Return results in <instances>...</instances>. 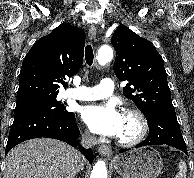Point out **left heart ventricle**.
<instances>
[{"instance_id": "left-heart-ventricle-1", "label": "left heart ventricle", "mask_w": 194, "mask_h": 178, "mask_svg": "<svg viewBox=\"0 0 194 178\" xmlns=\"http://www.w3.org/2000/svg\"><path fill=\"white\" fill-rule=\"evenodd\" d=\"M122 120H123L122 131L118 137L124 139L133 137L138 130L137 122L132 117L125 115L122 116Z\"/></svg>"}]
</instances>
